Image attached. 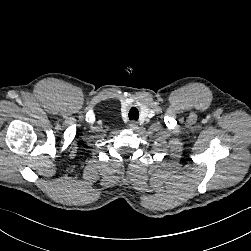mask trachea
Segmentation results:
<instances>
[{
  "instance_id": "trachea-1",
  "label": "trachea",
  "mask_w": 251,
  "mask_h": 251,
  "mask_svg": "<svg viewBox=\"0 0 251 251\" xmlns=\"http://www.w3.org/2000/svg\"><path fill=\"white\" fill-rule=\"evenodd\" d=\"M138 117H139V112L136 108L133 107L129 112V119L130 120H132V119L137 120Z\"/></svg>"
}]
</instances>
